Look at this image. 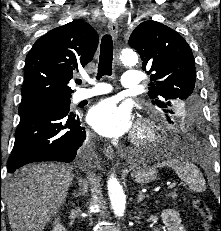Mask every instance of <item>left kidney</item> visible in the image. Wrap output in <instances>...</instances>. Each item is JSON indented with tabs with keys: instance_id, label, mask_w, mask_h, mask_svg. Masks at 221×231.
I'll return each mask as SVG.
<instances>
[{
	"instance_id": "left-kidney-1",
	"label": "left kidney",
	"mask_w": 221,
	"mask_h": 231,
	"mask_svg": "<svg viewBox=\"0 0 221 231\" xmlns=\"http://www.w3.org/2000/svg\"><path fill=\"white\" fill-rule=\"evenodd\" d=\"M161 219L168 231H186L181 223L179 213L173 209L163 210Z\"/></svg>"
}]
</instances>
